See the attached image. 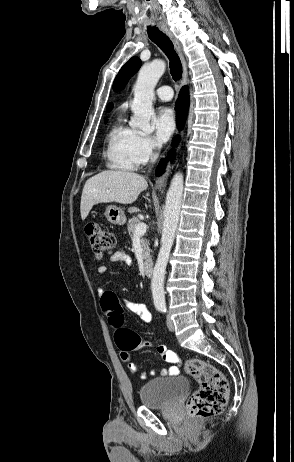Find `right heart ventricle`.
<instances>
[{"label": "right heart ventricle", "instance_id": "e07e8e85", "mask_svg": "<svg viewBox=\"0 0 294 462\" xmlns=\"http://www.w3.org/2000/svg\"><path fill=\"white\" fill-rule=\"evenodd\" d=\"M135 131L126 126L119 118L113 123L106 135V146L103 153L108 168L131 171L137 167L132 151Z\"/></svg>", "mask_w": 294, "mask_h": 462}]
</instances>
